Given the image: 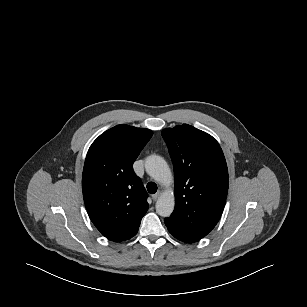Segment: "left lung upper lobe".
I'll use <instances>...</instances> for the list:
<instances>
[{"instance_id": "obj_1", "label": "left lung upper lobe", "mask_w": 307, "mask_h": 307, "mask_svg": "<svg viewBox=\"0 0 307 307\" xmlns=\"http://www.w3.org/2000/svg\"><path fill=\"white\" fill-rule=\"evenodd\" d=\"M174 165L175 209L168 218L203 238L217 224L228 192V169L218 142L188 124L161 132Z\"/></svg>"}]
</instances>
